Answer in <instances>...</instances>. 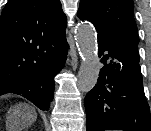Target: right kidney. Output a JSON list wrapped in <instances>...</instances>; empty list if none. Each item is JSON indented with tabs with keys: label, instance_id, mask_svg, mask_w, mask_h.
<instances>
[{
	"label": "right kidney",
	"instance_id": "ca27d5eb",
	"mask_svg": "<svg viewBox=\"0 0 151 131\" xmlns=\"http://www.w3.org/2000/svg\"><path fill=\"white\" fill-rule=\"evenodd\" d=\"M14 118H15V116H14V115H11V116H10V119H12V120H13ZM28 121H29V120H26V122H25V123H26V124H28ZM17 130H18V129H17L16 127H12V128L10 129V131H17Z\"/></svg>",
	"mask_w": 151,
	"mask_h": 131
}]
</instances>
